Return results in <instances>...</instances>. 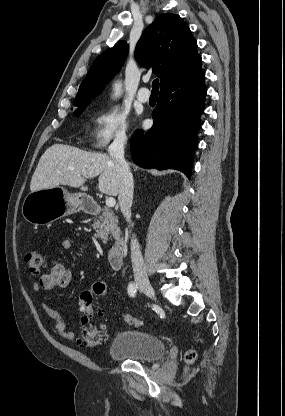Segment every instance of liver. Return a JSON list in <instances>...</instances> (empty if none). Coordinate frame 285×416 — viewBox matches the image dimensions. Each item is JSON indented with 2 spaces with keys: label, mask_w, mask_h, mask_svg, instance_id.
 <instances>
[{
  "label": "liver",
  "mask_w": 285,
  "mask_h": 416,
  "mask_svg": "<svg viewBox=\"0 0 285 416\" xmlns=\"http://www.w3.org/2000/svg\"><path fill=\"white\" fill-rule=\"evenodd\" d=\"M98 178V190L107 196H117L121 174L107 154L84 152L73 146L54 144L41 156L32 176L30 190H47L55 186H70L86 192L84 178Z\"/></svg>",
  "instance_id": "liver-1"
}]
</instances>
